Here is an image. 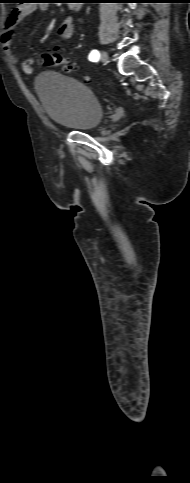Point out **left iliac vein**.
<instances>
[{
    "label": "left iliac vein",
    "mask_w": 190,
    "mask_h": 483,
    "mask_svg": "<svg viewBox=\"0 0 190 483\" xmlns=\"http://www.w3.org/2000/svg\"><path fill=\"white\" fill-rule=\"evenodd\" d=\"M100 60L103 64H108L109 62V57L106 51H102L100 55Z\"/></svg>",
    "instance_id": "4c4485c4"
}]
</instances>
